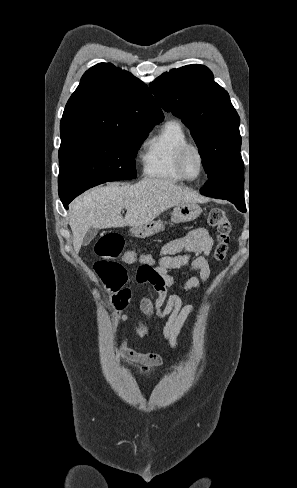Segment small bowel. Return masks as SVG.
I'll list each match as a JSON object with an SVG mask.
<instances>
[{"mask_svg": "<svg viewBox=\"0 0 297 488\" xmlns=\"http://www.w3.org/2000/svg\"><path fill=\"white\" fill-rule=\"evenodd\" d=\"M213 248V238L206 228L193 229L185 235L164 244L156 258L155 265L148 277V281L158 296L152 304L147 295L140 298L142 308L157 324L167 317L164 329L165 340L175 350L176 334L183 321L196 312L193 305L182 304L181 293L191 289L201 290L207 281L210 267L208 256ZM122 259L127 264H141L143 254L127 251ZM128 255L130 257H128ZM188 267L189 272H198L199 277L192 275L177 276L174 270ZM120 357L139 375L152 374L161 364L162 358L157 353H140L130 347L123 340L120 346Z\"/></svg>", "mask_w": 297, "mask_h": 488, "instance_id": "small-bowel-1", "label": "small bowel"}]
</instances>
